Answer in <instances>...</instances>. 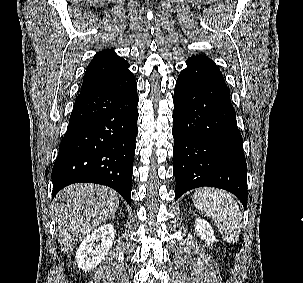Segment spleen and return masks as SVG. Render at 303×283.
<instances>
[{
	"label": "spleen",
	"instance_id": "3e777b00",
	"mask_svg": "<svg viewBox=\"0 0 303 283\" xmlns=\"http://www.w3.org/2000/svg\"><path fill=\"white\" fill-rule=\"evenodd\" d=\"M193 202L202 214L214 221L224 241L238 240L242 214L230 193L217 188H201L193 195Z\"/></svg>",
	"mask_w": 303,
	"mask_h": 283
}]
</instances>
